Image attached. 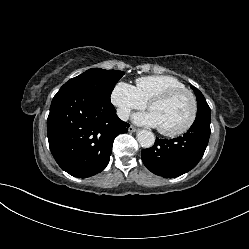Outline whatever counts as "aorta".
Returning a JSON list of instances; mask_svg holds the SVG:
<instances>
[{
	"mask_svg": "<svg viewBox=\"0 0 249 249\" xmlns=\"http://www.w3.org/2000/svg\"><path fill=\"white\" fill-rule=\"evenodd\" d=\"M137 140L142 147L150 148L155 143V136L151 131L140 130L137 133Z\"/></svg>",
	"mask_w": 249,
	"mask_h": 249,
	"instance_id": "aorta-1",
	"label": "aorta"
}]
</instances>
